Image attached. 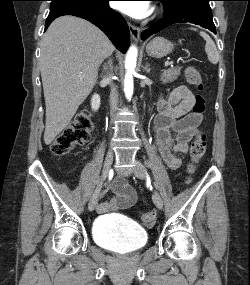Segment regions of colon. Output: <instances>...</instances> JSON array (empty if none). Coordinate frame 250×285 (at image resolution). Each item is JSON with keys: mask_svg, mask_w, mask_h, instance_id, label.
Returning <instances> with one entry per match:
<instances>
[{"mask_svg": "<svg viewBox=\"0 0 250 285\" xmlns=\"http://www.w3.org/2000/svg\"><path fill=\"white\" fill-rule=\"evenodd\" d=\"M185 77L187 81L196 86L198 90H202V77L200 71L194 66H188L185 69ZM205 111V100L202 95L198 94L195 97L193 113L202 115ZM93 131V122L88 110H82L76 114L74 119L66 126V128L54 139L51 144V151L57 156L69 153L78 145H82L89 141ZM206 137L203 133H199L192 141L190 146L191 164L188 171L192 173L197 163L205 154ZM156 219V214L153 211L144 213L142 220L146 224H152Z\"/></svg>", "mask_w": 250, "mask_h": 285, "instance_id": "obj_1", "label": "colon"}]
</instances>
